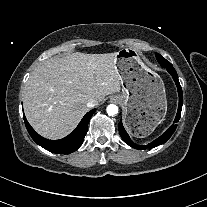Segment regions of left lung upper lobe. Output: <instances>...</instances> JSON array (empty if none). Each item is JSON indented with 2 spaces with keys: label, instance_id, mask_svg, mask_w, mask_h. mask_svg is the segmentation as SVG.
<instances>
[{
  "label": "left lung upper lobe",
  "instance_id": "1",
  "mask_svg": "<svg viewBox=\"0 0 207 207\" xmlns=\"http://www.w3.org/2000/svg\"><path fill=\"white\" fill-rule=\"evenodd\" d=\"M156 58L162 67L172 66V64L163 58L160 54L156 53Z\"/></svg>",
  "mask_w": 207,
  "mask_h": 207
}]
</instances>
